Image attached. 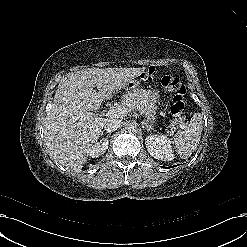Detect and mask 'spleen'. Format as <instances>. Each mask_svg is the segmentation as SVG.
<instances>
[{"instance_id":"1","label":"spleen","mask_w":247,"mask_h":247,"mask_svg":"<svg viewBox=\"0 0 247 247\" xmlns=\"http://www.w3.org/2000/svg\"><path fill=\"white\" fill-rule=\"evenodd\" d=\"M203 129L200 113H195L184 131L174 136L175 147L181 158L186 159L197 149Z\"/></svg>"}]
</instances>
